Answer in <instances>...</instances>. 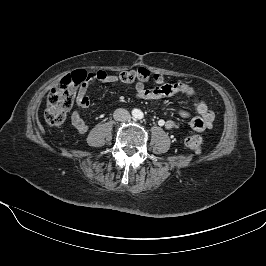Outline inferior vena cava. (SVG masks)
Masks as SVG:
<instances>
[{
  "label": "inferior vena cava",
  "mask_w": 266,
  "mask_h": 266,
  "mask_svg": "<svg viewBox=\"0 0 266 266\" xmlns=\"http://www.w3.org/2000/svg\"><path fill=\"white\" fill-rule=\"evenodd\" d=\"M113 117L116 121H128L131 119L129 111L124 108H119L114 111Z\"/></svg>",
  "instance_id": "inferior-vena-cava-1"
}]
</instances>
